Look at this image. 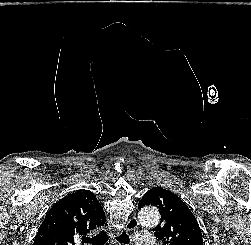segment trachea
Listing matches in <instances>:
<instances>
[{"instance_id": "obj_1", "label": "trachea", "mask_w": 251, "mask_h": 245, "mask_svg": "<svg viewBox=\"0 0 251 245\" xmlns=\"http://www.w3.org/2000/svg\"><path fill=\"white\" fill-rule=\"evenodd\" d=\"M109 239L108 234L103 230L96 236L92 238L83 237L82 243H90L92 245H104ZM117 241L123 244H129V236L126 234V232H122L121 235L116 237Z\"/></svg>"}]
</instances>
